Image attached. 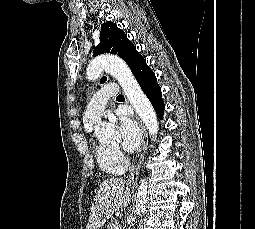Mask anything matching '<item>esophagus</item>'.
Wrapping results in <instances>:
<instances>
[{
  "instance_id": "obj_1",
  "label": "esophagus",
  "mask_w": 255,
  "mask_h": 229,
  "mask_svg": "<svg viewBox=\"0 0 255 229\" xmlns=\"http://www.w3.org/2000/svg\"><path fill=\"white\" fill-rule=\"evenodd\" d=\"M139 125L141 127L142 134H143L141 154H140L138 163H137L134 171L128 177V183H134L138 180L140 168H141V165H142V162H143L146 150H147V143H148L147 132H146L145 126L143 125L142 121H139Z\"/></svg>"
}]
</instances>
